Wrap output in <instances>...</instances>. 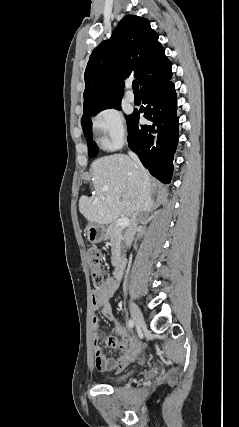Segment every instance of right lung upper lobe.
I'll return each instance as SVG.
<instances>
[{"label": "right lung upper lobe", "mask_w": 239, "mask_h": 427, "mask_svg": "<svg viewBox=\"0 0 239 427\" xmlns=\"http://www.w3.org/2000/svg\"><path fill=\"white\" fill-rule=\"evenodd\" d=\"M171 66L150 22L135 15L124 17L111 38L90 55L85 70L84 115L94 108L121 102L123 79L131 74L142 89L171 72Z\"/></svg>", "instance_id": "cb5924a9"}]
</instances>
